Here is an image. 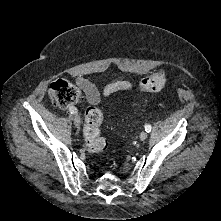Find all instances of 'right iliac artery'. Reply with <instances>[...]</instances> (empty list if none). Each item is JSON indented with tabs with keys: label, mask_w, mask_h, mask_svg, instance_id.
I'll use <instances>...</instances> for the list:
<instances>
[{
	"label": "right iliac artery",
	"mask_w": 221,
	"mask_h": 221,
	"mask_svg": "<svg viewBox=\"0 0 221 221\" xmlns=\"http://www.w3.org/2000/svg\"><path fill=\"white\" fill-rule=\"evenodd\" d=\"M69 111L71 114H76L78 112L77 109L73 106L69 108Z\"/></svg>",
	"instance_id": "right-iliac-artery-1"
}]
</instances>
